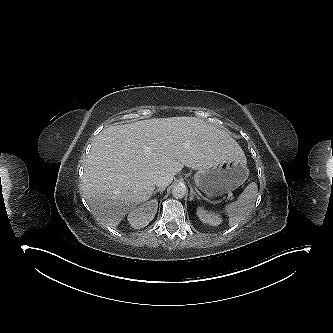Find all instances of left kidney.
<instances>
[{"label":"left kidney","instance_id":"obj_1","mask_svg":"<svg viewBox=\"0 0 333 333\" xmlns=\"http://www.w3.org/2000/svg\"><path fill=\"white\" fill-rule=\"evenodd\" d=\"M197 216L199 219L206 224L212 225V226H217L221 224L222 218L220 215L216 213H211L207 210H205L203 207H198L197 208Z\"/></svg>","mask_w":333,"mask_h":333}]
</instances>
